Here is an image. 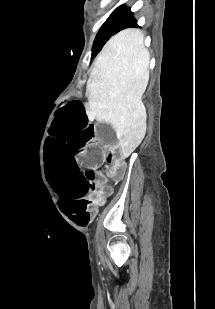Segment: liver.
<instances>
[{
	"instance_id": "obj_1",
	"label": "liver",
	"mask_w": 215,
	"mask_h": 309,
	"mask_svg": "<svg viewBox=\"0 0 215 309\" xmlns=\"http://www.w3.org/2000/svg\"><path fill=\"white\" fill-rule=\"evenodd\" d=\"M150 54L139 28L109 38L94 60L87 80L88 114H100L115 128L123 157L142 142L147 124L143 92L149 80Z\"/></svg>"
}]
</instances>
